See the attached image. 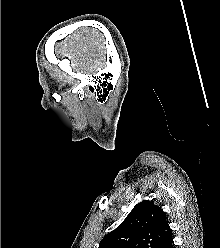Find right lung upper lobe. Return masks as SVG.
<instances>
[{
  "mask_svg": "<svg viewBox=\"0 0 220 248\" xmlns=\"http://www.w3.org/2000/svg\"><path fill=\"white\" fill-rule=\"evenodd\" d=\"M171 233L163 210L144 200L101 240L99 248H162L172 237Z\"/></svg>",
  "mask_w": 220,
  "mask_h": 248,
  "instance_id": "right-lung-upper-lobe-1",
  "label": "right lung upper lobe"
}]
</instances>
